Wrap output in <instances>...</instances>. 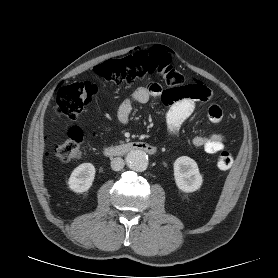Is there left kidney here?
<instances>
[{"instance_id": "obj_1", "label": "left kidney", "mask_w": 278, "mask_h": 278, "mask_svg": "<svg viewBox=\"0 0 278 278\" xmlns=\"http://www.w3.org/2000/svg\"><path fill=\"white\" fill-rule=\"evenodd\" d=\"M174 177L177 187L186 193L198 190L203 182L197 163L188 156L176 159Z\"/></svg>"}]
</instances>
